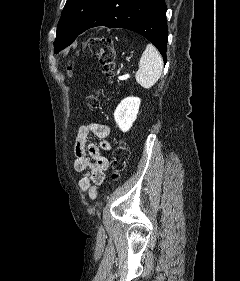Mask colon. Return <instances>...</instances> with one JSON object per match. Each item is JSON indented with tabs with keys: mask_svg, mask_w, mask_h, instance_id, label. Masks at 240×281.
I'll list each match as a JSON object with an SVG mask.
<instances>
[{
	"mask_svg": "<svg viewBox=\"0 0 240 281\" xmlns=\"http://www.w3.org/2000/svg\"><path fill=\"white\" fill-rule=\"evenodd\" d=\"M88 47L92 53H94L102 65L106 77L109 80L113 79L115 70V58L116 52L113 40L109 37H93L88 44ZM71 70V67L68 68ZM87 105L91 109H97L100 107V91L93 90L86 97ZM129 158V150L125 143L120 140L113 151V157L111 162L112 177L118 178L126 167Z\"/></svg>",
	"mask_w": 240,
	"mask_h": 281,
	"instance_id": "1",
	"label": "colon"
}]
</instances>
